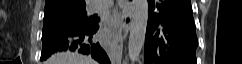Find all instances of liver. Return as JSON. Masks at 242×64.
Segmentation results:
<instances>
[{
  "label": "liver",
  "mask_w": 242,
  "mask_h": 64,
  "mask_svg": "<svg viewBox=\"0 0 242 64\" xmlns=\"http://www.w3.org/2000/svg\"><path fill=\"white\" fill-rule=\"evenodd\" d=\"M47 64H97L89 56H84L78 53L63 52L53 55Z\"/></svg>",
  "instance_id": "6515ba94"
}]
</instances>
